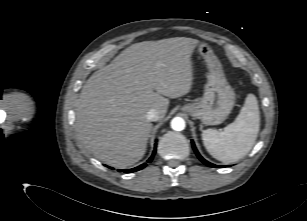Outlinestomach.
<instances>
[{
  "label": "stomach",
  "mask_w": 307,
  "mask_h": 221,
  "mask_svg": "<svg viewBox=\"0 0 307 221\" xmlns=\"http://www.w3.org/2000/svg\"><path fill=\"white\" fill-rule=\"evenodd\" d=\"M198 51L208 69L204 95L198 102L185 104L182 110L193 118L200 119L204 125H218L231 113L235 93L209 45L199 43Z\"/></svg>",
  "instance_id": "stomach-1"
}]
</instances>
